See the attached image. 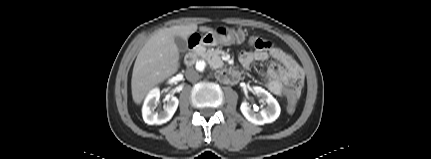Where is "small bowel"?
<instances>
[{
	"instance_id": "1",
	"label": "small bowel",
	"mask_w": 431,
	"mask_h": 159,
	"mask_svg": "<svg viewBox=\"0 0 431 159\" xmlns=\"http://www.w3.org/2000/svg\"><path fill=\"white\" fill-rule=\"evenodd\" d=\"M255 37L257 41L253 46L254 49H246L239 56L242 67L248 69L253 62L265 61L271 57L274 62L270 64L267 71V88L275 95H282L286 87H292L293 104H302L303 97L299 92L303 75L296 60L270 41Z\"/></svg>"
}]
</instances>
